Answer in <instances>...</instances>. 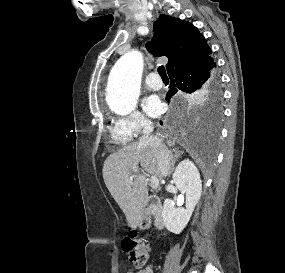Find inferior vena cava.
<instances>
[{"instance_id": "602c4592", "label": "inferior vena cava", "mask_w": 285, "mask_h": 273, "mask_svg": "<svg viewBox=\"0 0 285 273\" xmlns=\"http://www.w3.org/2000/svg\"><path fill=\"white\" fill-rule=\"evenodd\" d=\"M142 136L140 137L141 142H147L152 144L156 148V157L162 176H168L171 168V156L167 147L163 143L162 138L157 135H152L153 124L149 120H145L142 124Z\"/></svg>"}]
</instances>
